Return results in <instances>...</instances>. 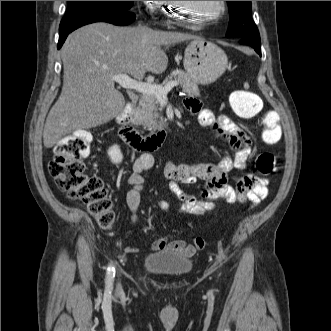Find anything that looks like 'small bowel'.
I'll return each mask as SVG.
<instances>
[{
  "instance_id": "1",
  "label": "small bowel",
  "mask_w": 331,
  "mask_h": 331,
  "mask_svg": "<svg viewBox=\"0 0 331 331\" xmlns=\"http://www.w3.org/2000/svg\"><path fill=\"white\" fill-rule=\"evenodd\" d=\"M186 108L195 114L201 126L209 128L214 134L226 140L234 150L233 156H225L215 164H175L168 161L164 167V175L171 181L170 190L179 201V209L186 215H202L214 208L208 200L224 198L227 203L250 201L257 204L268 194V180L253 174L238 177L236 187L227 184V174L232 169H245L252 152V141L244 130L227 115L216 116L211 110L205 109L194 100H185ZM153 166V157L149 153L140 155L133 163L132 172L128 176L127 183L130 189L126 194V204L131 212V222L138 223V208L143 189V173ZM205 181V186L200 198L187 193L179 186L194 185L197 180ZM162 207L167 209L168 203L163 201ZM173 249L188 256L194 254L196 247L185 241L169 242L167 238H159L151 245L152 251ZM137 247L131 246L125 249L126 253H135Z\"/></svg>"
}]
</instances>
